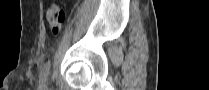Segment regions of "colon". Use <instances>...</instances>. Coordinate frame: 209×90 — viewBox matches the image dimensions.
Instances as JSON below:
<instances>
[{
  "instance_id": "1",
  "label": "colon",
  "mask_w": 209,
  "mask_h": 90,
  "mask_svg": "<svg viewBox=\"0 0 209 90\" xmlns=\"http://www.w3.org/2000/svg\"><path fill=\"white\" fill-rule=\"evenodd\" d=\"M47 21L54 32H58L65 24L66 13L58 4H52L46 13Z\"/></svg>"
}]
</instances>
